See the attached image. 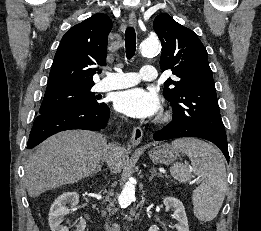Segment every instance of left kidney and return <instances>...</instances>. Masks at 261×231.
<instances>
[{"instance_id":"1","label":"left kidney","mask_w":261,"mask_h":231,"mask_svg":"<svg viewBox=\"0 0 261 231\" xmlns=\"http://www.w3.org/2000/svg\"><path fill=\"white\" fill-rule=\"evenodd\" d=\"M163 203L165 205V210H172V218L178 221V224L175 225L176 230L189 231L188 219L183 203L175 197H166L163 199ZM149 231H159V228L156 225H153L149 228Z\"/></svg>"}]
</instances>
